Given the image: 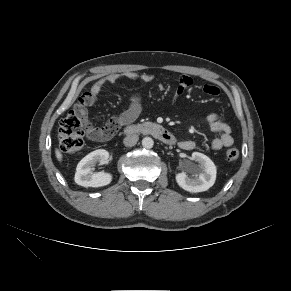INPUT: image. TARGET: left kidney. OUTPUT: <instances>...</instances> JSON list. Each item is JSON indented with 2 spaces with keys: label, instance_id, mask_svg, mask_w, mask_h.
Returning a JSON list of instances; mask_svg holds the SVG:
<instances>
[{
  "label": "left kidney",
  "instance_id": "5707ae66",
  "mask_svg": "<svg viewBox=\"0 0 291 291\" xmlns=\"http://www.w3.org/2000/svg\"><path fill=\"white\" fill-rule=\"evenodd\" d=\"M191 159L197 163L190 166L194 175L190 177L186 172L178 173L176 182L182 189L189 192L207 191L215 183L216 166L209 157L199 152H193Z\"/></svg>",
  "mask_w": 291,
  "mask_h": 291
}]
</instances>
